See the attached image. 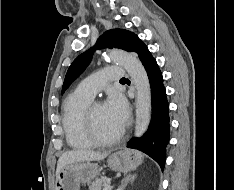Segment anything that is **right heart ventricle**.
I'll return each instance as SVG.
<instances>
[{"mask_svg": "<svg viewBox=\"0 0 234 190\" xmlns=\"http://www.w3.org/2000/svg\"><path fill=\"white\" fill-rule=\"evenodd\" d=\"M93 98L77 91L69 94L63 103L62 124L69 146L75 149H90L95 143L90 138L84 113Z\"/></svg>", "mask_w": 234, "mask_h": 190, "instance_id": "1", "label": "right heart ventricle"}]
</instances>
